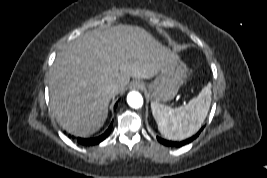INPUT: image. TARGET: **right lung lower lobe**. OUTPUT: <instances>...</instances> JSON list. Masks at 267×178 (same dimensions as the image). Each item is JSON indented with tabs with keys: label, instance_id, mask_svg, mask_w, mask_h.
I'll list each match as a JSON object with an SVG mask.
<instances>
[{
	"label": "right lung lower lobe",
	"instance_id": "98d812e1",
	"mask_svg": "<svg viewBox=\"0 0 267 178\" xmlns=\"http://www.w3.org/2000/svg\"><path fill=\"white\" fill-rule=\"evenodd\" d=\"M111 129H112V124L109 126V128L106 130V132L104 134H102L101 136H99V137L89 138V139L78 138L77 141L82 145L98 144L101 141H103L110 134Z\"/></svg>",
	"mask_w": 267,
	"mask_h": 178
}]
</instances>
